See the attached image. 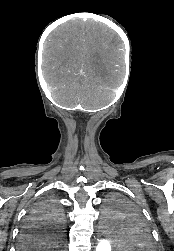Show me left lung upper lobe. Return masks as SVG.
I'll list each match as a JSON object with an SVG mask.
<instances>
[{"label":"left lung upper lobe","instance_id":"1","mask_svg":"<svg viewBox=\"0 0 174 251\" xmlns=\"http://www.w3.org/2000/svg\"><path fill=\"white\" fill-rule=\"evenodd\" d=\"M108 219L123 220L125 230L130 236V244L136 251H152L151 233L138 211L119 196L107 200Z\"/></svg>","mask_w":174,"mask_h":251}]
</instances>
